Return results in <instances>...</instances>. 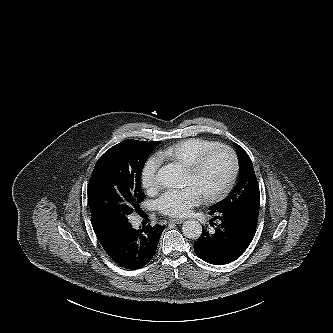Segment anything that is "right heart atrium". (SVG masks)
Returning a JSON list of instances; mask_svg holds the SVG:
<instances>
[{
	"label": "right heart atrium",
	"instance_id": "d8ad5b80",
	"mask_svg": "<svg viewBox=\"0 0 333 333\" xmlns=\"http://www.w3.org/2000/svg\"><path fill=\"white\" fill-rule=\"evenodd\" d=\"M162 164V157L158 154L149 156L140 171V183L148 194H155L159 188L158 171Z\"/></svg>",
	"mask_w": 333,
	"mask_h": 333
}]
</instances>
